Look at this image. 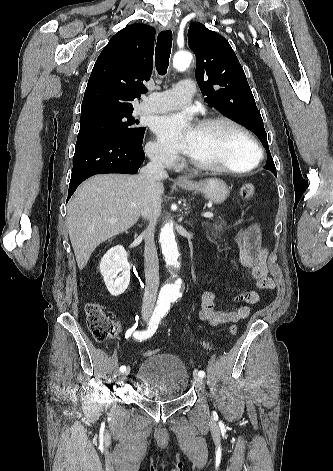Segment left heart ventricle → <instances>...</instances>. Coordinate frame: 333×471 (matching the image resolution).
I'll list each match as a JSON object with an SVG mask.
<instances>
[{
    "instance_id": "b2bd125f",
    "label": "left heart ventricle",
    "mask_w": 333,
    "mask_h": 471,
    "mask_svg": "<svg viewBox=\"0 0 333 471\" xmlns=\"http://www.w3.org/2000/svg\"><path fill=\"white\" fill-rule=\"evenodd\" d=\"M190 156L206 163L244 168L255 153L249 140L228 124L197 127Z\"/></svg>"
}]
</instances>
